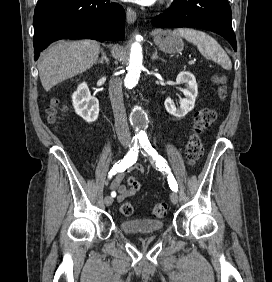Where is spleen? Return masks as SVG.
Returning <instances> with one entry per match:
<instances>
[{"instance_id": "obj_1", "label": "spleen", "mask_w": 272, "mask_h": 282, "mask_svg": "<svg viewBox=\"0 0 272 282\" xmlns=\"http://www.w3.org/2000/svg\"><path fill=\"white\" fill-rule=\"evenodd\" d=\"M172 34L185 38L187 41L196 45L204 57L217 62L226 70H231V60L218 42L210 35L203 31L190 28H178L173 30Z\"/></svg>"}]
</instances>
